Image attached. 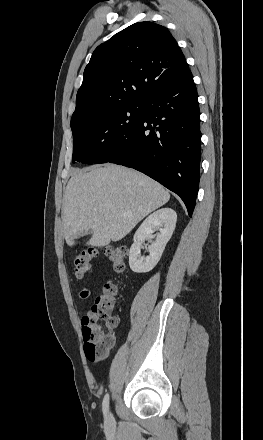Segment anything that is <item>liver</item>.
<instances>
[{
  "label": "liver",
  "instance_id": "6515ba94",
  "mask_svg": "<svg viewBox=\"0 0 263 440\" xmlns=\"http://www.w3.org/2000/svg\"><path fill=\"white\" fill-rule=\"evenodd\" d=\"M169 199L159 183L126 167L108 164L76 170L64 193V237L73 246L81 232L91 230L88 245L108 246Z\"/></svg>",
  "mask_w": 263,
  "mask_h": 440
}]
</instances>
